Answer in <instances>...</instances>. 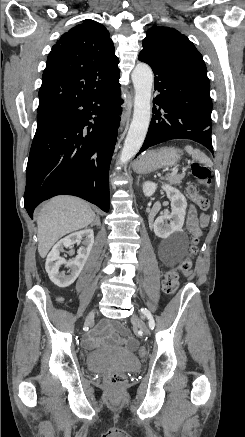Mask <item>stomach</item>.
<instances>
[{"label":"stomach","mask_w":245,"mask_h":437,"mask_svg":"<svg viewBox=\"0 0 245 437\" xmlns=\"http://www.w3.org/2000/svg\"><path fill=\"white\" fill-rule=\"evenodd\" d=\"M179 158L180 151L174 147L151 150L135 161L133 169L139 174H147L160 168L174 166Z\"/></svg>","instance_id":"0dacf381"}]
</instances>
